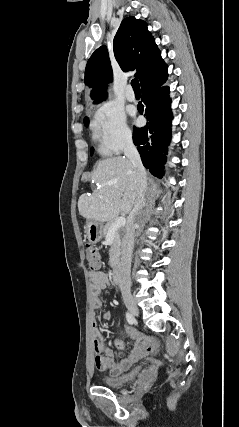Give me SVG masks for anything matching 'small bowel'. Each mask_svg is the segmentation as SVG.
Returning <instances> with one entry per match:
<instances>
[{
  "instance_id": "c3829d8e",
  "label": "small bowel",
  "mask_w": 239,
  "mask_h": 427,
  "mask_svg": "<svg viewBox=\"0 0 239 427\" xmlns=\"http://www.w3.org/2000/svg\"><path fill=\"white\" fill-rule=\"evenodd\" d=\"M91 303L94 309L102 306L103 292L113 288V282L104 272H96L91 274ZM103 318L105 321L112 319V312L105 311ZM93 329V348L95 353V366L99 370H108L111 375H120L128 370L146 353L153 352L158 347V342L153 338H144L140 332L133 328H128V334L133 340L134 345L129 354L123 357L120 361L114 360L112 351L106 345V339L98 326L95 315L92 316ZM116 347L123 349L125 344L121 340H116Z\"/></svg>"
}]
</instances>
